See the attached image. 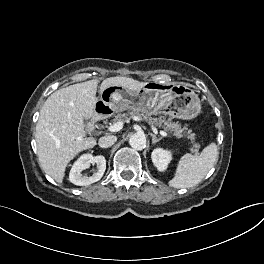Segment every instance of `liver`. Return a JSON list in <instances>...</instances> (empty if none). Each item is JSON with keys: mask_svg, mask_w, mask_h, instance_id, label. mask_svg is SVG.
Here are the masks:
<instances>
[{"mask_svg": "<svg viewBox=\"0 0 264 264\" xmlns=\"http://www.w3.org/2000/svg\"><path fill=\"white\" fill-rule=\"evenodd\" d=\"M98 80L70 85L52 93L44 103L36 125V143L40 166L56 182L62 183L67 164L80 152L93 148L96 139L86 137L84 119L94 115ZM147 83L127 77L102 81L101 92L110 86L131 91Z\"/></svg>", "mask_w": 264, "mask_h": 264, "instance_id": "liver-1", "label": "liver"}]
</instances>
